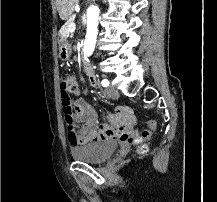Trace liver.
Here are the masks:
<instances>
[{"label":"liver","instance_id":"6515ba94","mask_svg":"<svg viewBox=\"0 0 217 202\" xmlns=\"http://www.w3.org/2000/svg\"><path fill=\"white\" fill-rule=\"evenodd\" d=\"M79 0H56L57 10L61 20H69Z\"/></svg>","mask_w":217,"mask_h":202}]
</instances>
